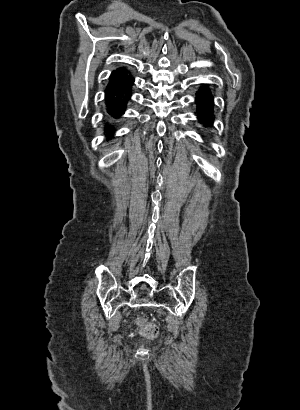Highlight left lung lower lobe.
I'll return each mask as SVG.
<instances>
[{
    "instance_id": "obj_1",
    "label": "left lung lower lobe",
    "mask_w": 300,
    "mask_h": 410,
    "mask_svg": "<svg viewBox=\"0 0 300 410\" xmlns=\"http://www.w3.org/2000/svg\"><path fill=\"white\" fill-rule=\"evenodd\" d=\"M197 118L205 128H211L214 123V96L207 86H201L196 93Z\"/></svg>"
}]
</instances>
